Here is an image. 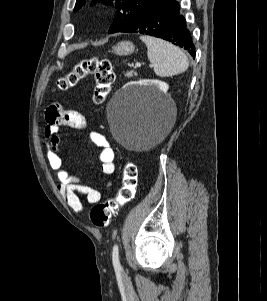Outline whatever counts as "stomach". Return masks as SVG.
I'll return each instance as SVG.
<instances>
[{"instance_id": "1", "label": "stomach", "mask_w": 267, "mask_h": 301, "mask_svg": "<svg viewBox=\"0 0 267 301\" xmlns=\"http://www.w3.org/2000/svg\"><path fill=\"white\" fill-rule=\"evenodd\" d=\"M135 51V46L132 42L121 41L113 47L114 54L118 56H127Z\"/></svg>"}]
</instances>
